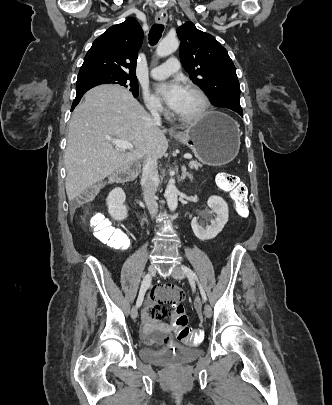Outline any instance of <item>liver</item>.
<instances>
[{
	"label": "liver",
	"instance_id": "obj_1",
	"mask_svg": "<svg viewBox=\"0 0 332 405\" xmlns=\"http://www.w3.org/2000/svg\"><path fill=\"white\" fill-rule=\"evenodd\" d=\"M165 133L128 90L117 85L90 89L69 123L64 154L68 199L140 158L161 159L168 149ZM108 137L128 141L133 149L121 152Z\"/></svg>",
	"mask_w": 332,
	"mask_h": 405
}]
</instances>
